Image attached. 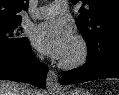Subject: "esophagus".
Segmentation results:
<instances>
[{
  "label": "esophagus",
  "mask_w": 119,
  "mask_h": 95,
  "mask_svg": "<svg viewBox=\"0 0 119 95\" xmlns=\"http://www.w3.org/2000/svg\"><path fill=\"white\" fill-rule=\"evenodd\" d=\"M46 85L48 90H57L59 88L57 75L53 70H49L47 74Z\"/></svg>",
  "instance_id": "esophagus-1"
}]
</instances>
